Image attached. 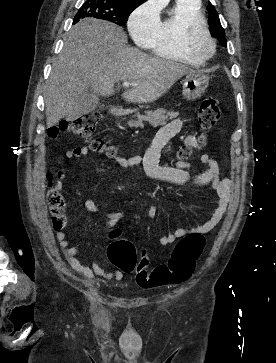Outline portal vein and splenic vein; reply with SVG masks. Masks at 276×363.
Masks as SVG:
<instances>
[{"instance_id":"1","label":"portal vein and splenic vein","mask_w":276,"mask_h":363,"mask_svg":"<svg viewBox=\"0 0 276 363\" xmlns=\"http://www.w3.org/2000/svg\"><path fill=\"white\" fill-rule=\"evenodd\" d=\"M129 86H135V83H130V82H127V81L123 82V87H129Z\"/></svg>"}]
</instances>
